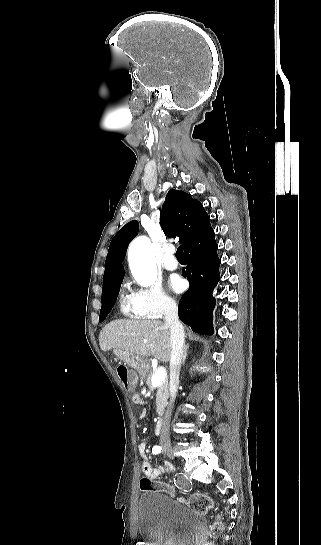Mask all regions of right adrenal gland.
I'll list each match as a JSON object with an SVG mask.
<instances>
[{
	"instance_id": "1",
	"label": "right adrenal gland",
	"mask_w": 321,
	"mask_h": 545,
	"mask_svg": "<svg viewBox=\"0 0 321 545\" xmlns=\"http://www.w3.org/2000/svg\"><path fill=\"white\" fill-rule=\"evenodd\" d=\"M188 347H189V343H188V345H186V347H185V349H184L183 359H182V365H184V363H185V361H186Z\"/></svg>"
}]
</instances>
